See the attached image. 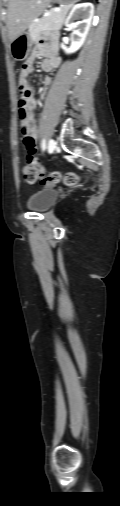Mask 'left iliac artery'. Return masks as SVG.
Returning <instances> with one entry per match:
<instances>
[{"label": "left iliac artery", "mask_w": 120, "mask_h": 506, "mask_svg": "<svg viewBox=\"0 0 120 506\" xmlns=\"http://www.w3.org/2000/svg\"><path fill=\"white\" fill-rule=\"evenodd\" d=\"M41 148H42V151H45V149H46V140L45 139H43L41 142Z\"/></svg>", "instance_id": "44dca946"}]
</instances>
